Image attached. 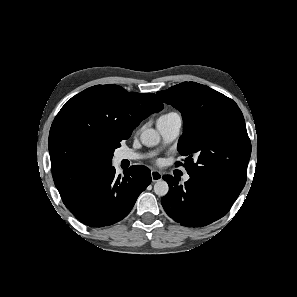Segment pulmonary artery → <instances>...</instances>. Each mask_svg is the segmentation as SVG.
Wrapping results in <instances>:
<instances>
[{"label": "pulmonary artery", "instance_id": "obj_1", "mask_svg": "<svg viewBox=\"0 0 297 297\" xmlns=\"http://www.w3.org/2000/svg\"><path fill=\"white\" fill-rule=\"evenodd\" d=\"M182 128V119L179 115L176 116H168L161 117L158 120V129L163 137L165 143H170L174 141L180 134ZM144 156L141 154H137L134 152H121L118 155V160H138L143 158ZM189 175L184 176V180H189Z\"/></svg>", "mask_w": 297, "mask_h": 297}]
</instances>
